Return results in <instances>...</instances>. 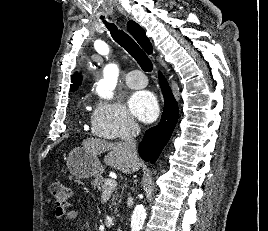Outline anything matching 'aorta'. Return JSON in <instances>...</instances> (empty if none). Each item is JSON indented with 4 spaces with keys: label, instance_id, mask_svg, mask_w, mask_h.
<instances>
[{
    "label": "aorta",
    "instance_id": "aorta-1",
    "mask_svg": "<svg viewBox=\"0 0 268 231\" xmlns=\"http://www.w3.org/2000/svg\"><path fill=\"white\" fill-rule=\"evenodd\" d=\"M119 75V68L116 64H109L105 67L103 73V79L98 84L96 91L99 96L105 99H111L113 97V90L116 87ZM146 218V209L144 205L139 204L134 208L131 217V231H140L144 225Z\"/></svg>",
    "mask_w": 268,
    "mask_h": 231
}]
</instances>
